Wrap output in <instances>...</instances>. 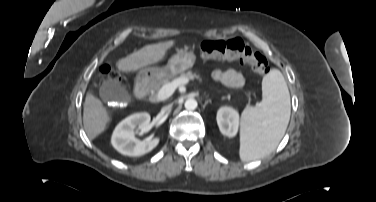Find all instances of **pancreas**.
<instances>
[{
	"instance_id": "obj_1",
	"label": "pancreas",
	"mask_w": 376,
	"mask_h": 202,
	"mask_svg": "<svg viewBox=\"0 0 376 202\" xmlns=\"http://www.w3.org/2000/svg\"><path fill=\"white\" fill-rule=\"evenodd\" d=\"M188 79V80H198V81H202L201 77L199 75H197L196 73L192 72V71H187V72H183L180 74V76L174 78L173 80L175 79ZM172 80V77H163L157 81H154L150 84V92H151V97H150V100L152 102H157L159 101L160 99L158 98L157 94L159 92V90L161 89V87L167 83H170L173 81Z\"/></svg>"
}]
</instances>
